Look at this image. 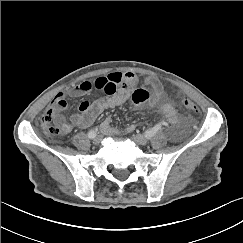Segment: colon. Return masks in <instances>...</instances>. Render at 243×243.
Returning <instances> with one entry per match:
<instances>
[{
  "label": "colon",
  "instance_id": "1",
  "mask_svg": "<svg viewBox=\"0 0 243 243\" xmlns=\"http://www.w3.org/2000/svg\"><path fill=\"white\" fill-rule=\"evenodd\" d=\"M126 84L128 83L126 82L123 83V85ZM181 104L190 113L193 114L198 113L197 106L188 98L182 97ZM55 119H56V114L52 110L47 111L41 119L42 128L52 136H57L63 133V127L61 125H58Z\"/></svg>",
  "mask_w": 243,
  "mask_h": 243
}]
</instances>
